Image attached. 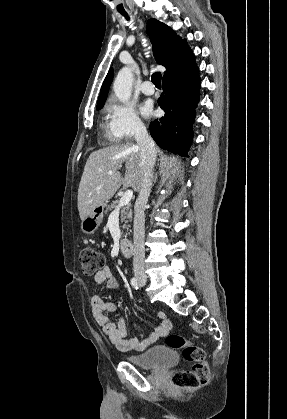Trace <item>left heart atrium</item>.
Returning a JSON list of instances; mask_svg holds the SVG:
<instances>
[{
    "label": "left heart atrium",
    "instance_id": "left-heart-atrium-1",
    "mask_svg": "<svg viewBox=\"0 0 287 419\" xmlns=\"http://www.w3.org/2000/svg\"><path fill=\"white\" fill-rule=\"evenodd\" d=\"M140 111H141L142 115L149 116L152 112L151 104L148 103V102L143 103L140 107Z\"/></svg>",
    "mask_w": 287,
    "mask_h": 419
}]
</instances>
